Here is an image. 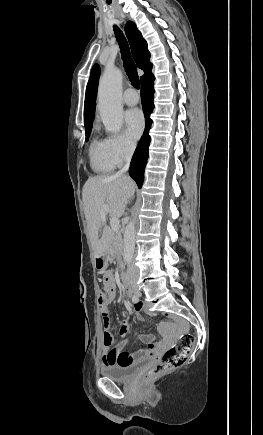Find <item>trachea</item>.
<instances>
[{
	"label": "trachea",
	"mask_w": 263,
	"mask_h": 435,
	"mask_svg": "<svg viewBox=\"0 0 263 435\" xmlns=\"http://www.w3.org/2000/svg\"><path fill=\"white\" fill-rule=\"evenodd\" d=\"M114 32H115V37L117 39V42L120 46V52H121L122 60H123L125 71L128 75V78H129L131 84L133 85V87H135L136 89H139L140 82H139V76L137 73V67L132 59L131 54H130L128 42H127L124 34L122 33V31L117 26H114Z\"/></svg>",
	"instance_id": "1"
}]
</instances>
